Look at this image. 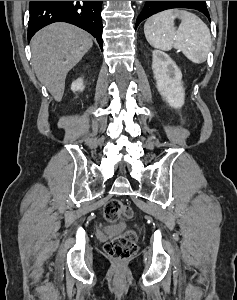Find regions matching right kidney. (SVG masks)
I'll use <instances>...</instances> for the list:
<instances>
[{"mask_svg": "<svg viewBox=\"0 0 237 300\" xmlns=\"http://www.w3.org/2000/svg\"><path fill=\"white\" fill-rule=\"evenodd\" d=\"M83 79H77V81H73L71 85V91H83Z\"/></svg>", "mask_w": 237, "mask_h": 300, "instance_id": "1", "label": "right kidney"}]
</instances>
